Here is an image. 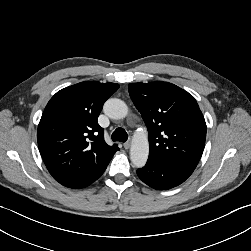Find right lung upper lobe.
<instances>
[{
	"label": "right lung upper lobe",
	"mask_w": 251,
	"mask_h": 251,
	"mask_svg": "<svg viewBox=\"0 0 251 251\" xmlns=\"http://www.w3.org/2000/svg\"><path fill=\"white\" fill-rule=\"evenodd\" d=\"M116 83L81 82L58 91L46 105L37 141L43 161L62 185L87 181L103 170L116 151L104 140L97 119Z\"/></svg>",
	"instance_id": "1"
}]
</instances>
